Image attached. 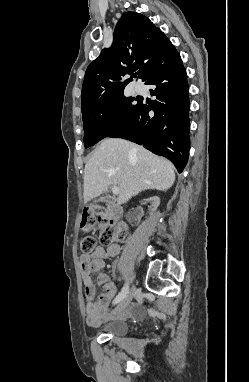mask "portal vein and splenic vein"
Masks as SVG:
<instances>
[{"label": "portal vein and splenic vein", "mask_w": 249, "mask_h": 382, "mask_svg": "<svg viewBox=\"0 0 249 382\" xmlns=\"http://www.w3.org/2000/svg\"><path fill=\"white\" fill-rule=\"evenodd\" d=\"M111 189H112L113 194H115V195H119L120 194V190H119L118 187L112 186Z\"/></svg>", "instance_id": "1"}]
</instances>
